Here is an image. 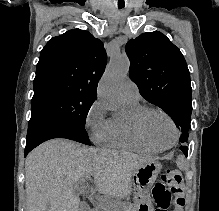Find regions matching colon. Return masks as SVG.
Returning a JSON list of instances; mask_svg holds the SVG:
<instances>
[{
    "instance_id": "obj_1",
    "label": "colon",
    "mask_w": 219,
    "mask_h": 211,
    "mask_svg": "<svg viewBox=\"0 0 219 211\" xmlns=\"http://www.w3.org/2000/svg\"><path fill=\"white\" fill-rule=\"evenodd\" d=\"M161 181L170 187L174 196L173 211H183L186 188L182 174L176 169H167L161 176Z\"/></svg>"
}]
</instances>
